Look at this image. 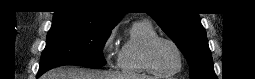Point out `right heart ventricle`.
I'll use <instances>...</instances> for the list:
<instances>
[{
    "label": "right heart ventricle",
    "mask_w": 255,
    "mask_h": 79,
    "mask_svg": "<svg viewBox=\"0 0 255 79\" xmlns=\"http://www.w3.org/2000/svg\"><path fill=\"white\" fill-rule=\"evenodd\" d=\"M157 36L156 30L148 22H135L129 29L128 39L119 53V67L123 73L131 75L152 74L145 66L143 52L149 40Z\"/></svg>",
    "instance_id": "1"
}]
</instances>
